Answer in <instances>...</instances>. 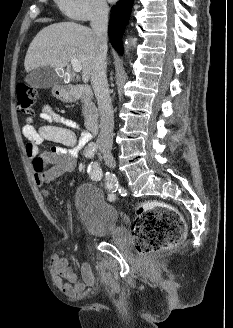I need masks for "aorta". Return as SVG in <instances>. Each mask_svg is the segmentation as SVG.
<instances>
[{
    "mask_svg": "<svg viewBox=\"0 0 233 328\" xmlns=\"http://www.w3.org/2000/svg\"><path fill=\"white\" fill-rule=\"evenodd\" d=\"M128 47H129V42H128V40H126L125 41V49H126V51H127Z\"/></svg>",
    "mask_w": 233,
    "mask_h": 328,
    "instance_id": "obj_1",
    "label": "aorta"
}]
</instances>
